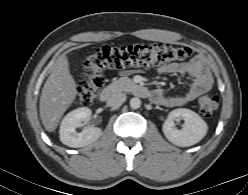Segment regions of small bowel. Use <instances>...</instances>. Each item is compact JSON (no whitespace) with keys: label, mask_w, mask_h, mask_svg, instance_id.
Listing matches in <instances>:
<instances>
[{"label":"small bowel","mask_w":248,"mask_h":195,"mask_svg":"<svg viewBox=\"0 0 248 195\" xmlns=\"http://www.w3.org/2000/svg\"><path fill=\"white\" fill-rule=\"evenodd\" d=\"M158 71L162 74H178L191 80L190 87L184 94L166 96L161 89L152 92L153 100L165 107L184 106L209 91L213 84L212 75L201 57H195L188 62L167 64ZM120 74L124 75L126 72Z\"/></svg>","instance_id":"obj_1"}]
</instances>
